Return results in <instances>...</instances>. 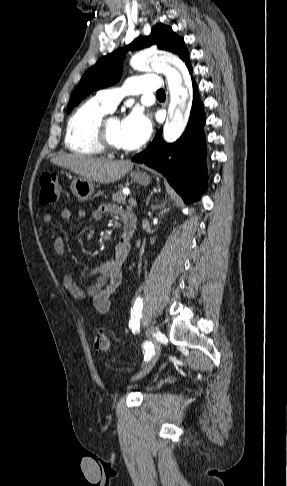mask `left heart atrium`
<instances>
[{"label": "left heart atrium", "instance_id": "1", "mask_svg": "<svg viewBox=\"0 0 287 486\" xmlns=\"http://www.w3.org/2000/svg\"><path fill=\"white\" fill-rule=\"evenodd\" d=\"M122 141L125 149H135L143 145L152 131L147 115L135 110L121 121Z\"/></svg>", "mask_w": 287, "mask_h": 486}]
</instances>
